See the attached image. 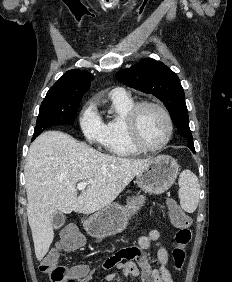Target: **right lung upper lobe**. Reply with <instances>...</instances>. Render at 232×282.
Here are the masks:
<instances>
[{"mask_svg":"<svg viewBox=\"0 0 232 282\" xmlns=\"http://www.w3.org/2000/svg\"><path fill=\"white\" fill-rule=\"evenodd\" d=\"M92 79L93 76L88 72L69 70L50 88L45 98L83 96L89 89Z\"/></svg>","mask_w":232,"mask_h":282,"instance_id":"obj_1","label":"right lung upper lobe"}]
</instances>
